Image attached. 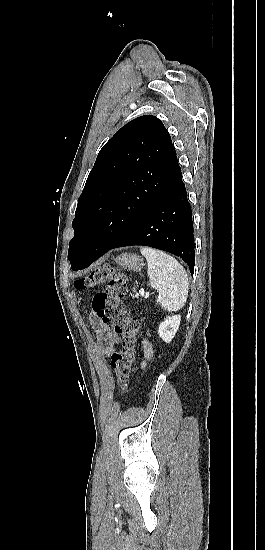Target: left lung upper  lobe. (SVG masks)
<instances>
[{"instance_id": "obj_1", "label": "left lung upper lobe", "mask_w": 265, "mask_h": 550, "mask_svg": "<svg viewBox=\"0 0 265 550\" xmlns=\"http://www.w3.org/2000/svg\"><path fill=\"white\" fill-rule=\"evenodd\" d=\"M180 166L171 137L152 115L138 117L100 150L78 199L69 242L72 270L103 252L168 186Z\"/></svg>"}]
</instances>
